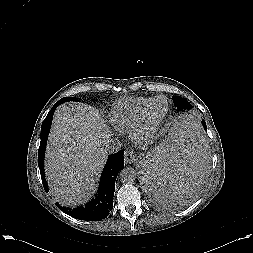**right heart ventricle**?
Here are the masks:
<instances>
[{
  "label": "right heart ventricle",
  "instance_id": "1",
  "mask_svg": "<svg viewBox=\"0 0 253 253\" xmlns=\"http://www.w3.org/2000/svg\"><path fill=\"white\" fill-rule=\"evenodd\" d=\"M150 99L151 97L148 96H137L126 97L116 101L109 113L110 122L119 131H132L144 106Z\"/></svg>",
  "mask_w": 253,
  "mask_h": 253
}]
</instances>
